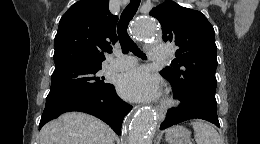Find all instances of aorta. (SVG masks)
Here are the masks:
<instances>
[{"instance_id": "aorta-1", "label": "aorta", "mask_w": 260, "mask_h": 144, "mask_svg": "<svg viewBox=\"0 0 260 144\" xmlns=\"http://www.w3.org/2000/svg\"><path fill=\"white\" fill-rule=\"evenodd\" d=\"M133 34L138 41L156 37L157 26L152 18H142L134 22ZM155 114L151 109L142 108L127 121L128 144H152V130Z\"/></svg>"}]
</instances>
